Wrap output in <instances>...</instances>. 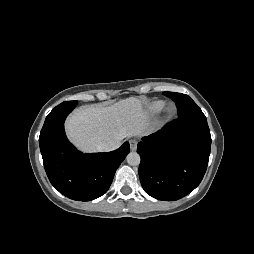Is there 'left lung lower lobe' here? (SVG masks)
<instances>
[{
    "label": "left lung lower lobe",
    "mask_w": 254,
    "mask_h": 254,
    "mask_svg": "<svg viewBox=\"0 0 254 254\" xmlns=\"http://www.w3.org/2000/svg\"><path fill=\"white\" fill-rule=\"evenodd\" d=\"M211 136L206 118L179 117L138 143L139 177L153 198L178 200L201 182L208 165Z\"/></svg>",
    "instance_id": "left-lung-lower-lobe-1"
}]
</instances>
